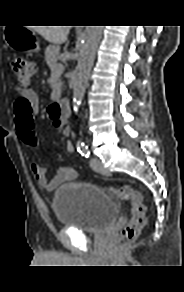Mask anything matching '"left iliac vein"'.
Returning <instances> with one entry per match:
<instances>
[{"label": "left iliac vein", "instance_id": "4c4485c4", "mask_svg": "<svg viewBox=\"0 0 184 292\" xmlns=\"http://www.w3.org/2000/svg\"><path fill=\"white\" fill-rule=\"evenodd\" d=\"M90 167L99 174L109 175V171L103 166L102 162L98 158L90 159Z\"/></svg>", "mask_w": 184, "mask_h": 292}]
</instances>
